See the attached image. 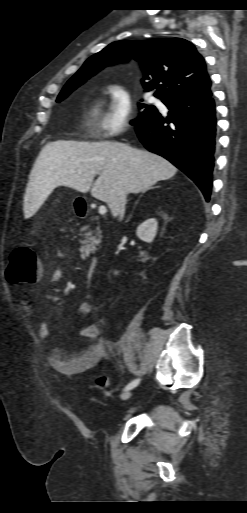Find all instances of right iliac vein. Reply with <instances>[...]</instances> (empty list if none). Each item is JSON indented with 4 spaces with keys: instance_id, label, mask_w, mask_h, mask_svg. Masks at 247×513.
I'll return each instance as SVG.
<instances>
[{
    "instance_id": "right-iliac-vein-1",
    "label": "right iliac vein",
    "mask_w": 247,
    "mask_h": 513,
    "mask_svg": "<svg viewBox=\"0 0 247 513\" xmlns=\"http://www.w3.org/2000/svg\"><path fill=\"white\" fill-rule=\"evenodd\" d=\"M132 392L131 391H125L122 395H121V400L122 401H126L130 398Z\"/></svg>"
}]
</instances>
